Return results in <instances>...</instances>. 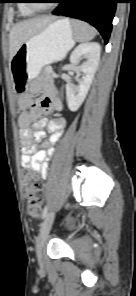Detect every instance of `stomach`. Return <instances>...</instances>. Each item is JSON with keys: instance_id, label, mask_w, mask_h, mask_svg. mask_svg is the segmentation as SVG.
Segmentation results:
<instances>
[{"instance_id": "obj_1", "label": "stomach", "mask_w": 136, "mask_h": 296, "mask_svg": "<svg viewBox=\"0 0 136 296\" xmlns=\"http://www.w3.org/2000/svg\"><path fill=\"white\" fill-rule=\"evenodd\" d=\"M75 43L67 19L49 23L42 31L25 41L11 59L10 67L17 94H27L26 82L36 79L44 66L63 59Z\"/></svg>"}]
</instances>
